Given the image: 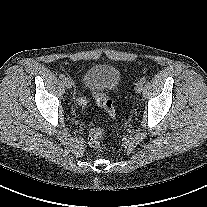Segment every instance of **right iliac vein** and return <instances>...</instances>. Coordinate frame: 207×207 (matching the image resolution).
Listing matches in <instances>:
<instances>
[{
    "label": "right iliac vein",
    "instance_id": "obj_1",
    "mask_svg": "<svg viewBox=\"0 0 207 207\" xmlns=\"http://www.w3.org/2000/svg\"><path fill=\"white\" fill-rule=\"evenodd\" d=\"M63 83H64V86H65L67 89H71V88H72L73 83H72V80H71V79H69V78H65V79L63 80Z\"/></svg>",
    "mask_w": 207,
    "mask_h": 207
}]
</instances>
